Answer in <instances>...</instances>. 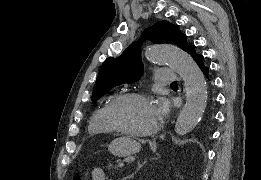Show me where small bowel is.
I'll use <instances>...</instances> for the list:
<instances>
[{
    "label": "small bowel",
    "instance_id": "obj_1",
    "mask_svg": "<svg viewBox=\"0 0 261 180\" xmlns=\"http://www.w3.org/2000/svg\"><path fill=\"white\" fill-rule=\"evenodd\" d=\"M92 177L94 180H105L106 179L104 172L98 167L93 168Z\"/></svg>",
    "mask_w": 261,
    "mask_h": 180
}]
</instances>
